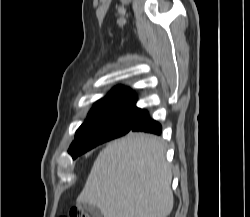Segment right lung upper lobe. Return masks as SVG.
Masks as SVG:
<instances>
[{
	"mask_svg": "<svg viewBox=\"0 0 250 217\" xmlns=\"http://www.w3.org/2000/svg\"><path fill=\"white\" fill-rule=\"evenodd\" d=\"M136 97L129 88L117 86L106 97L99 100L89 112V115L125 107H133Z\"/></svg>",
	"mask_w": 250,
	"mask_h": 217,
	"instance_id": "1",
	"label": "right lung upper lobe"
}]
</instances>
